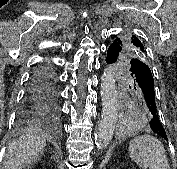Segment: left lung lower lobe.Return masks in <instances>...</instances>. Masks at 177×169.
<instances>
[{
	"mask_svg": "<svg viewBox=\"0 0 177 169\" xmlns=\"http://www.w3.org/2000/svg\"><path fill=\"white\" fill-rule=\"evenodd\" d=\"M121 51L122 48L117 42L111 43L107 50V64H111L112 67L122 71L132 79L134 88L143 94L145 103L152 114L150 128L157 135L161 136L165 140H168L166 132L159 119V114L155 102L154 80L149 66L138 58H130L124 63H117Z\"/></svg>",
	"mask_w": 177,
	"mask_h": 169,
	"instance_id": "0a47b994",
	"label": "left lung lower lobe"
}]
</instances>
